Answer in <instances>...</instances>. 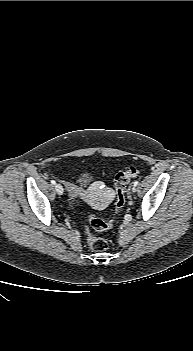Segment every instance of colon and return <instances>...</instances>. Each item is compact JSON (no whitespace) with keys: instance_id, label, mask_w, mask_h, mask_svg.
<instances>
[{"instance_id":"1","label":"colon","mask_w":193,"mask_h":351,"mask_svg":"<svg viewBox=\"0 0 193 351\" xmlns=\"http://www.w3.org/2000/svg\"><path fill=\"white\" fill-rule=\"evenodd\" d=\"M140 174L141 167L138 165H132L126 170L116 174L114 179V189L116 196L115 209L117 213L120 212L125 204V196L130 180L138 177ZM88 222L90 227L95 231H106L110 229L114 224L113 222H107L92 215L88 217ZM88 246L95 252H104L108 249L109 243L107 239L93 236L88 231Z\"/></svg>"}]
</instances>
